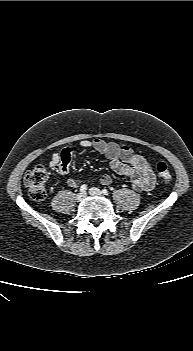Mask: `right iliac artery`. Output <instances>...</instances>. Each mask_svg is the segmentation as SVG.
Segmentation results:
<instances>
[{
  "instance_id": "82829eb1",
  "label": "right iliac artery",
  "mask_w": 193,
  "mask_h": 351,
  "mask_svg": "<svg viewBox=\"0 0 193 351\" xmlns=\"http://www.w3.org/2000/svg\"><path fill=\"white\" fill-rule=\"evenodd\" d=\"M87 190V185L84 184L80 187V192H85Z\"/></svg>"
}]
</instances>
